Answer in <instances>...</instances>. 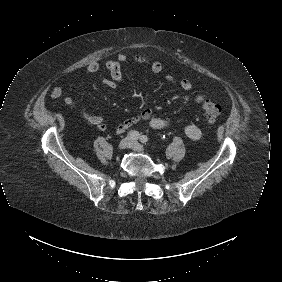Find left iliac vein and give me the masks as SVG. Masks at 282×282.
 Here are the masks:
<instances>
[{
  "label": "left iliac vein",
  "mask_w": 282,
  "mask_h": 282,
  "mask_svg": "<svg viewBox=\"0 0 282 282\" xmlns=\"http://www.w3.org/2000/svg\"><path fill=\"white\" fill-rule=\"evenodd\" d=\"M130 148L137 152H144V147L135 140H132Z\"/></svg>",
  "instance_id": "4c4485c4"
}]
</instances>
